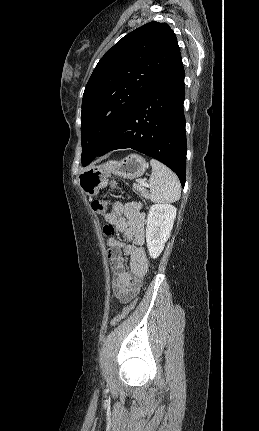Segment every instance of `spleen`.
Returning a JSON list of instances; mask_svg holds the SVG:
<instances>
[{
	"label": "spleen",
	"mask_w": 259,
	"mask_h": 431,
	"mask_svg": "<svg viewBox=\"0 0 259 431\" xmlns=\"http://www.w3.org/2000/svg\"><path fill=\"white\" fill-rule=\"evenodd\" d=\"M149 179L151 200L155 203H173L180 199L181 185L176 174L161 162L151 159Z\"/></svg>",
	"instance_id": "3e777b00"
}]
</instances>
